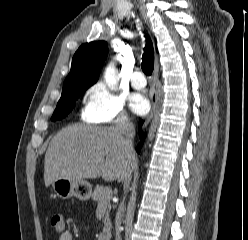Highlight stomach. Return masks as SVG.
<instances>
[{
    "label": "stomach",
    "instance_id": "obj_1",
    "mask_svg": "<svg viewBox=\"0 0 248 240\" xmlns=\"http://www.w3.org/2000/svg\"><path fill=\"white\" fill-rule=\"evenodd\" d=\"M52 189L54 193L62 199L76 197L86 201L90 199L92 195V187L90 183L85 180L56 179L52 182Z\"/></svg>",
    "mask_w": 248,
    "mask_h": 240
}]
</instances>
